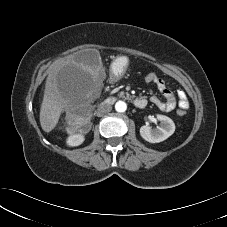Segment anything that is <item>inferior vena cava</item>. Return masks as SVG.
Here are the masks:
<instances>
[{
    "label": "inferior vena cava",
    "instance_id": "inferior-vena-cava-1",
    "mask_svg": "<svg viewBox=\"0 0 227 227\" xmlns=\"http://www.w3.org/2000/svg\"><path fill=\"white\" fill-rule=\"evenodd\" d=\"M112 110L111 105L102 103L98 106L96 110L97 116H103L104 114L110 112Z\"/></svg>",
    "mask_w": 227,
    "mask_h": 227
}]
</instances>
